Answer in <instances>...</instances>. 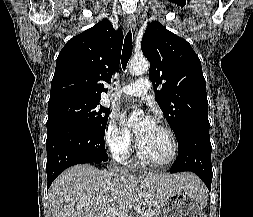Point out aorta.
I'll return each instance as SVG.
<instances>
[{
  "label": "aorta",
  "instance_id": "obj_1",
  "mask_svg": "<svg viewBox=\"0 0 253 217\" xmlns=\"http://www.w3.org/2000/svg\"><path fill=\"white\" fill-rule=\"evenodd\" d=\"M129 72L131 75H141L148 71L149 62L145 58H133L129 63ZM142 114L141 110H135L131 117L137 119Z\"/></svg>",
  "mask_w": 253,
  "mask_h": 217
}]
</instances>
